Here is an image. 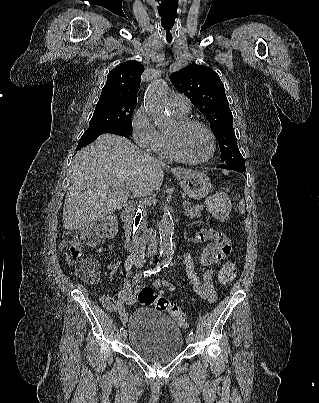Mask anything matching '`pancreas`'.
Masks as SVG:
<instances>
[{
    "label": "pancreas",
    "instance_id": "cf45deb5",
    "mask_svg": "<svg viewBox=\"0 0 319 403\" xmlns=\"http://www.w3.org/2000/svg\"><path fill=\"white\" fill-rule=\"evenodd\" d=\"M204 207L201 205H195V206H191V205H186L184 206V210H183V214L186 217H189L190 219H194V218H199L201 217V212L203 211ZM146 216H147V210L144 209L143 210V221L141 223V229H145L146 228Z\"/></svg>",
    "mask_w": 319,
    "mask_h": 403
}]
</instances>
